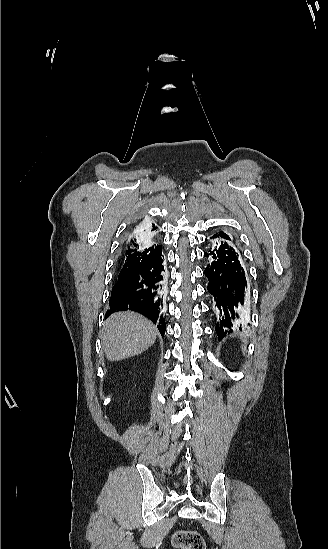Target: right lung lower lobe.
<instances>
[{
    "label": "right lung lower lobe",
    "instance_id": "1",
    "mask_svg": "<svg viewBox=\"0 0 328 549\" xmlns=\"http://www.w3.org/2000/svg\"><path fill=\"white\" fill-rule=\"evenodd\" d=\"M164 282V262L160 253L129 276L118 278L112 288L107 317L118 311H135L157 324L164 336L166 325L161 314Z\"/></svg>",
    "mask_w": 328,
    "mask_h": 549
}]
</instances>
